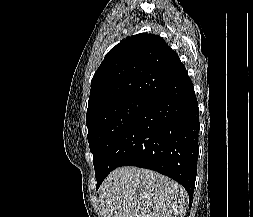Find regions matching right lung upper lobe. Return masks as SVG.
<instances>
[{"instance_id":"cb5924a9","label":"right lung upper lobe","mask_w":253,"mask_h":217,"mask_svg":"<svg viewBox=\"0 0 253 217\" xmlns=\"http://www.w3.org/2000/svg\"><path fill=\"white\" fill-rule=\"evenodd\" d=\"M185 69L178 55L158 35L131 36L105 56L91 80L87 118L129 97L150 99Z\"/></svg>"}]
</instances>
